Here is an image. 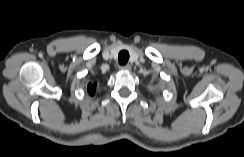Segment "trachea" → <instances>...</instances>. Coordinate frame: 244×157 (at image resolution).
I'll use <instances>...</instances> for the list:
<instances>
[{"label": "trachea", "instance_id": "3493384b", "mask_svg": "<svg viewBox=\"0 0 244 157\" xmlns=\"http://www.w3.org/2000/svg\"><path fill=\"white\" fill-rule=\"evenodd\" d=\"M129 60V52L126 50H123L118 55V61L121 65H125Z\"/></svg>", "mask_w": 244, "mask_h": 157}]
</instances>
